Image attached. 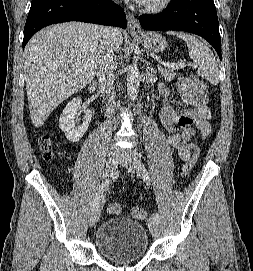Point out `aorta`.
I'll return each instance as SVG.
<instances>
[{
	"label": "aorta",
	"instance_id": "762f6f07",
	"mask_svg": "<svg viewBox=\"0 0 253 271\" xmlns=\"http://www.w3.org/2000/svg\"><path fill=\"white\" fill-rule=\"evenodd\" d=\"M140 72L135 63L129 66L127 73V93L131 100L137 97L140 86Z\"/></svg>",
	"mask_w": 253,
	"mask_h": 271
}]
</instances>
